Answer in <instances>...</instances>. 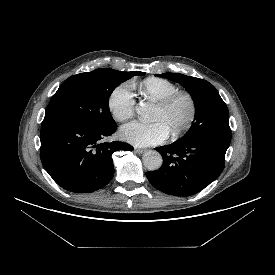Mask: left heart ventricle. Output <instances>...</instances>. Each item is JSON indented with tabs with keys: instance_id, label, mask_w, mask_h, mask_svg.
Returning a JSON list of instances; mask_svg holds the SVG:
<instances>
[{
	"instance_id": "1",
	"label": "left heart ventricle",
	"mask_w": 275,
	"mask_h": 275,
	"mask_svg": "<svg viewBox=\"0 0 275 275\" xmlns=\"http://www.w3.org/2000/svg\"><path fill=\"white\" fill-rule=\"evenodd\" d=\"M189 103L185 98L178 99L168 110L156 108L154 121H161L169 133L177 130L187 120L189 115Z\"/></svg>"
}]
</instances>
